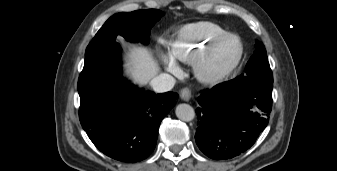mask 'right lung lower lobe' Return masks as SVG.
<instances>
[{
	"instance_id": "98d812e1",
	"label": "right lung lower lobe",
	"mask_w": 337,
	"mask_h": 171,
	"mask_svg": "<svg viewBox=\"0 0 337 171\" xmlns=\"http://www.w3.org/2000/svg\"><path fill=\"white\" fill-rule=\"evenodd\" d=\"M79 118L94 145L122 162L146 159L177 93L154 94L122 78L120 47L106 43L89 52L78 80Z\"/></svg>"
}]
</instances>
